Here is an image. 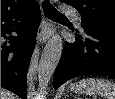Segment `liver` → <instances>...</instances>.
<instances>
[{
    "label": "liver",
    "mask_w": 115,
    "mask_h": 99,
    "mask_svg": "<svg viewBox=\"0 0 115 99\" xmlns=\"http://www.w3.org/2000/svg\"><path fill=\"white\" fill-rule=\"evenodd\" d=\"M1 99H15V97L11 92L1 89Z\"/></svg>",
    "instance_id": "6515ba94"
}]
</instances>
